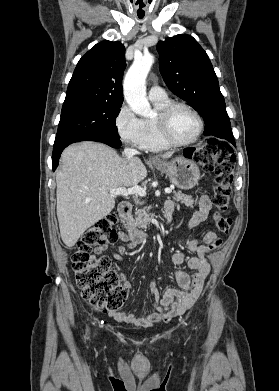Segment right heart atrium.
Listing matches in <instances>:
<instances>
[{"instance_id":"1","label":"right heart atrium","mask_w":279,"mask_h":391,"mask_svg":"<svg viewBox=\"0 0 279 391\" xmlns=\"http://www.w3.org/2000/svg\"><path fill=\"white\" fill-rule=\"evenodd\" d=\"M114 125L120 139L135 147H141L144 138L143 120L132 109L123 104L114 119Z\"/></svg>"}]
</instances>
